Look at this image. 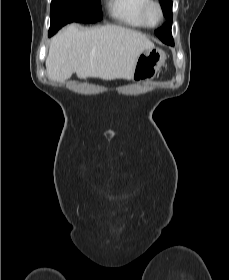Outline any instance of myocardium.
Wrapping results in <instances>:
<instances>
[{
  "mask_svg": "<svg viewBox=\"0 0 229 280\" xmlns=\"http://www.w3.org/2000/svg\"><path fill=\"white\" fill-rule=\"evenodd\" d=\"M152 9H155L158 12V21L156 23H151L149 21V13ZM142 19L147 27L152 28L159 25L163 19V10L161 5L157 1L148 0L147 4L142 10Z\"/></svg>",
  "mask_w": 229,
  "mask_h": 280,
  "instance_id": "obj_1",
  "label": "myocardium"
}]
</instances>
